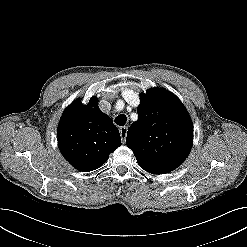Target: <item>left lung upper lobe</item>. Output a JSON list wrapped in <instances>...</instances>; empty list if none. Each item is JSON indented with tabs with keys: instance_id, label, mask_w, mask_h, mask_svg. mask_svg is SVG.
Returning a JSON list of instances; mask_svg holds the SVG:
<instances>
[{
	"instance_id": "1",
	"label": "left lung upper lobe",
	"mask_w": 247,
	"mask_h": 247,
	"mask_svg": "<svg viewBox=\"0 0 247 247\" xmlns=\"http://www.w3.org/2000/svg\"><path fill=\"white\" fill-rule=\"evenodd\" d=\"M137 112L126 144L138 164L166 172L176 169L193 143V125L185 106L170 91L154 88L140 94Z\"/></svg>"
}]
</instances>
